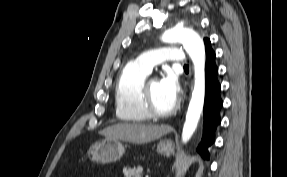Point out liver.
<instances>
[{
    "instance_id": "1",
    "label": "liver",
    "mask_w": 287,
    "mask_h": 177,
    "mask_svg": "<svg viewBox=\"0 0 287 177\" xmlns=\"http://www.w3.org/2000/svg\"><path fill=\"white\" fill-rule=\"evenodd\" d=\"M170 131L171 127L168 125L119 123L103 129L99 134L108 139L144 144L154 141Z\"/></svg>"
}]
</instances>
